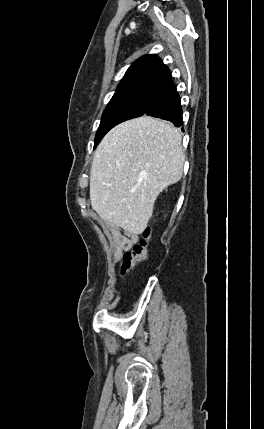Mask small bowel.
<instances>
[{
    "mask_svg": "<svg viewBox=\"0 0 264 429\" xmlns=\"http://www.w3.org/2000/svg\"><path fill=\"white\" fill-rule=\"evenodd\" d=\"M109 239L115 256H117L121 251L129 250L137 242L138 236L135 233L114 227L110 229Z\"/></svg>",
    "mask_w": 264,
    "mask_h": 429,
    "instance_id": "1",
    "label": "small bowel"
}]
</instances>
